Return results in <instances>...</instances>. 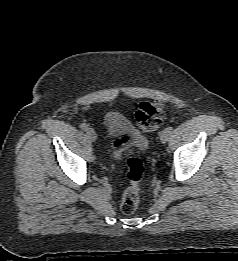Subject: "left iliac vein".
<instances>
[{
    "label": "left iliac vein",
    "mask_w": 238,
    "mask_h": 261,
    "mask_svg": "<svg viewBox=\"0 0 238 261\" xmlns=\"http://www.w3.org/2000/svg\"><path fill=\"white\" fill-rule=\"evenodd\" d=\"M171 132L168 128H165L160 135V140L162 143H167L170 138Z\"/></svg>",
    "instance_id": "obj_1"
}]
</instances>
